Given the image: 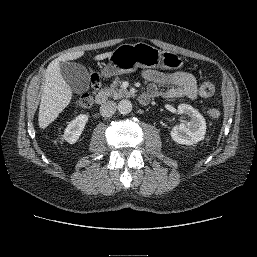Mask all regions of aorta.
I'll return each instance as SVG.
<instances>
[{"label": "aorta", "mask_w": 257, "mask_h": 257, "mask_svg": "<svg viewBox=\"0 0 257 257\" xmlns=\"http://www.w3.org/2000/svg\"><path fill=\"white\" fill-rule=\"evenodd\" d=\"M117 108L121 114H129L132 111V103L127 99H123L118 103Z\"/></svg>", "instance_id": "aorta-1"}]
</instances>
